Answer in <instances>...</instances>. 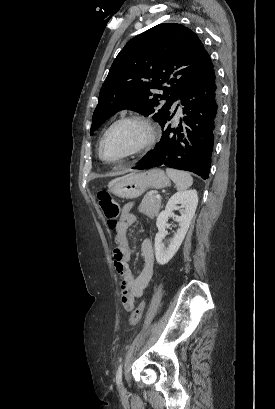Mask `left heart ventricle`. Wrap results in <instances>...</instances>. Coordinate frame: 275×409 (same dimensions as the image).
Masks as SVG:
<instances>
[{"mask_svg":"<svg viewBox=\"0 0 275 409\" xmlns=\"http://www.w3.org/2000/svg\"><path fill=\"white\" fill-rule=\"evenodd\" d=\"M140 129L131 124L116 127L103 145L105 157H119L129 151L140 139Z\"/></svg>","mask_w":275,"mask_h":409,"instance_id":"b2bd125f","label":"left heart ventricle"}]
</instances>
